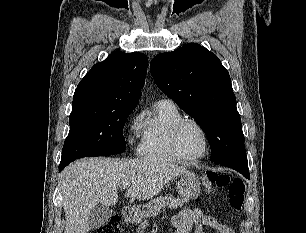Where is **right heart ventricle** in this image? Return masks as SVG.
Instances as JSON below:
<instances>
[{
	"instance_id": "1",
	"label": "right heart ventricle",
	"mask_w": 306,
	"mask_h": 233,
	"mask_svg": "<svg viewBox=\"0 0 306 233\" xmlns=\"http://www.w3.org/2000/svg\"><path fill=\"white\" fill-rule=\"evenodd\" d=\"M182 118V114L173 102L168 100L156 102L152 111L141 119V155L153 160H179L172 150L170 134L173 126Z\"/></svg>"
}]
</instances>
